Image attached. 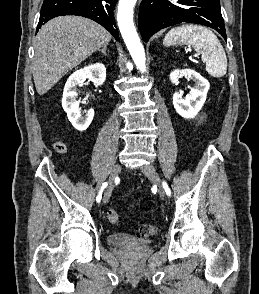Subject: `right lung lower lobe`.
<instances>
[{"label":"right lung lower lobe","mask_w":259,"mask_h":294,"mask_svg":"<svg viewBox=\"0 0 259 294\" xmlns=\"http://www.w3.org/2000/svg\"><path fill=\"white\" fill-rule=\"evenodd\" d=\"M116 2L117 0H44L37 28L57 16L79 15L101 24L119 40L113 13Z\"/></svg>","instance_id":"obj_1"}]
</instances>
